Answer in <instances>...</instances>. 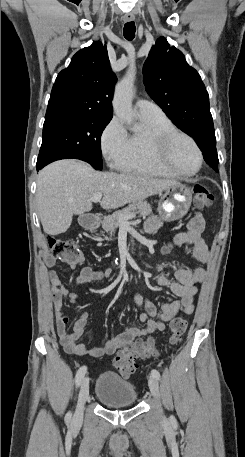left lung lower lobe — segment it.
<instances>
[{"instance_id":"left-lung-lower-lobe-1","label":"left lung lower lobe","mask_w":245,"mask_h":457,"mask_svg":"<svg viewBox=\"0 0 245 457\" xmlns=\"http://www.w3.org/2000/svg\"><path fill=\"white\" fill-rule=\"evenodd\" d=\"M196 143L202 151L206 163L218 172V156L214 130L206 133L200 139L196 140Z\"/></svg>"}]
</instances>
